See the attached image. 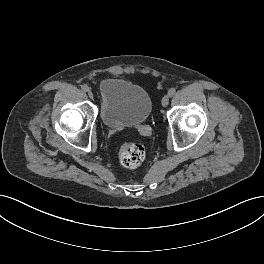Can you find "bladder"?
<instances>
[{"label": "bladder", "instance_id": "bladder-1", "mask_svg": "<svg viewBox=\"0 0 264 264\" xmlns=\"http://www.w3.org/2000/svg\"><path fill=\"white\" fill-rule=\"evenodd\" d=\"M101 120L108 128L138 126L149 117L152 101L142 86L133 82L108 78L99 86Z\"/></svg>", "mask_w": 264, "mask_h": 264}]
</instances>
